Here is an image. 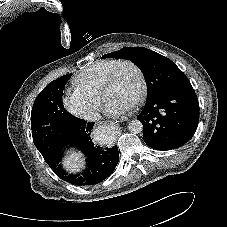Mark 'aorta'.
Returning <instances> with one entry per match:
<instances>
[{
    "label": "aorta",
    "instance_id": "obj_1",
    "mask_svg": "<svg viewBox=\"0 0 227 227\" xmlns=\"http://www.w3.org/2000/svg\"><path fill=\"white\" fill-rule=\"evenodd\" d=\"M128 130L133 134H138L143 131V125L139 120L134 119L128 123Z\"/></svg>",
    "mask_w": 227,
    "mask_h": 227
}]
</instances>
